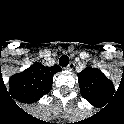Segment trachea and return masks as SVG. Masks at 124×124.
I'll return each mask as SVG.
<instances>
[{
  "label": "trachea",
  "instance_id": "3493384b",
  "mask_svg": "<svg viewBox=\"0 0 124 124\" xmlns=\"http://www.w3.org/2000/svg\"><path fill=\"white\" fill-rule=\"evenodd\" d=\"M59 64L66 67L69 64V57L67 55H62L59 59Z\"/></svg>",
  "mask_w": 124,
  "mask_h": 124
}]
</instances>
